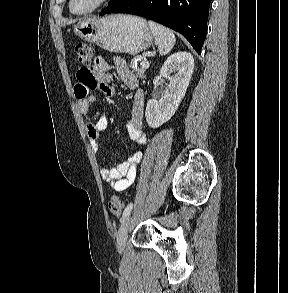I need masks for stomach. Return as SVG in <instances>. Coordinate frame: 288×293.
I'll return each mask as SVG.
<instances>
[{
  "mask_svg": "<svg viewBox=\"0 0 288 293\" xmlns=\"http://www.w3.org/2000/svg\"><path fill=\"white\" fill-rule=\"evenodd\" d=\"M73 28L81 39L115 53L135 55L149 48L154 41L147 22L131 15L115 14L85 19Z\"/></svg>",
  "mask_w": 288,
  "mask_h": 293,
  "instance_id": "stomach-1",
  "label": "stomach"
}]
</instances>
